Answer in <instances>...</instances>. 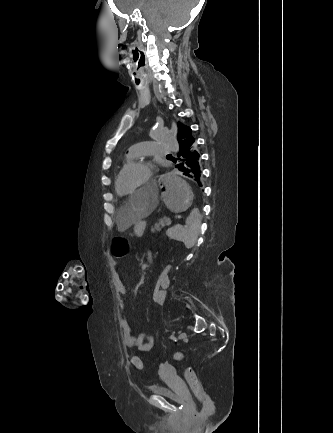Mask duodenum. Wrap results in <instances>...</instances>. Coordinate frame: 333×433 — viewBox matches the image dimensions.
Listing matches in <instances>:
<instances>
[{
  "label": "duodenum",
  "instance_id": "obj_1",
  "mask_svg": "<svg viewBox=\"0 0 333 433\" xmlns=\"http://www.w3.org/2000/svg\"><path fill=\"white\" fill-rule=\"evenodd\" d=\"M148 258H149V260H151V256H149Z\"/></svg>",
  "mask_w": 333,
  "mask_h": 433
}]
</instances>
